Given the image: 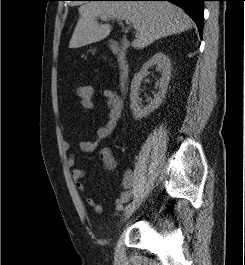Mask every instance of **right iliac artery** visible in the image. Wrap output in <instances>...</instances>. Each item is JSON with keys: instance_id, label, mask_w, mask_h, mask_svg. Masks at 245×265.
Here are the masks:
<instances>
[{"instance_id": "right-iliac-artery-1", "label": "right iliac artery", "mask_w": 245, "mask_h": 265, "mask_svg": "<svg viewBox=\"0 0 245 265\" xmlns=\"http://www.w3.org/2000/svg\"><path fill=\"white\" fill-rule=\"evenodd\" d=\"M123 205L122 204H118L117 206H116V209L118 210V211H121V210H123Z\"/></svg>"}]
</instances>
